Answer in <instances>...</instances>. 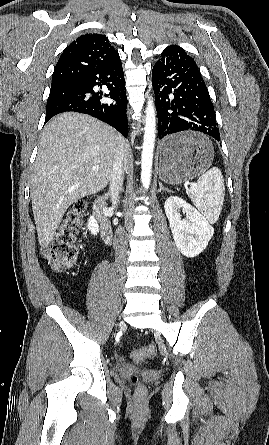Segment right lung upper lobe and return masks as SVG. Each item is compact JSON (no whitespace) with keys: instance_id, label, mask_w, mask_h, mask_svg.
Instances as JSON below:
<instances>
[{"instance_id":"cb5924a9","label":"right lung upper lobe","mask_w":269,"mask_h":445,"mask_svg":"<svg viewBox=\"0 0 269 445\" xmlns=\"http://www.w3.org/2000/svg\"><path fill=\"white\" fill-rule=\"evenodd\" d=\"M117 58L118 52L105 35H81L61 54L52 75L51 88L73 85L84 74Z\"/></svg>"}]
</instances>
